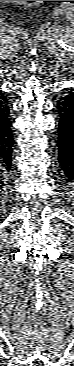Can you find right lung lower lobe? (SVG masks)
I'll use <instances>...</instances> for the list:
<instances>
[{"label": "right lung lower lobe", "instance_id": "98d812e1", "mask_svg": "<svg viewBox=\"0 0 74 366\" xmlns=\"http://www.w3.org/2000/svg\"><path fill=\"white\" fill-rule=\"evenodd\" d=\"M13 137L9 119V100L0 90V164L10 168Z\"/></svg>", "mask_w": 74, "mask_h": 366}]
</instances>
